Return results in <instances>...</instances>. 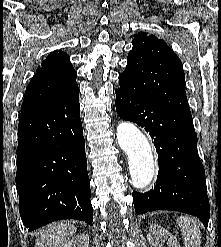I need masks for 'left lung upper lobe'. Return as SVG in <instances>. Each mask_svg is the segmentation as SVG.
<instances>
[{"label":"left lung upper lobe","instance_id":"1","mask_svg":"<svg viewBox=\"0 0 221 247\" xmlns=\"http://www.w3.org/2000/svg\"><path fill=\"white\" fill-rule=\"evenodd\" d=\"M127 66L121 74L135 88V93L173 108L190 113L185 76L181 61L165 41L140 32L134 35Z\"/></svg>","mask_w":221,"mask_h":247}]
</instances>
